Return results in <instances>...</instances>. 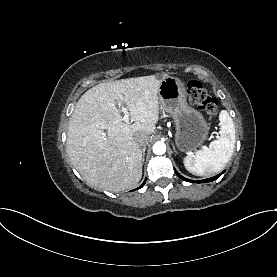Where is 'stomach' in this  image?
I'll use <instances>...</instances> for the list:
<instances>
[{
    "label": "stomach",
    "mask_w": 277,
    "mask_h": 277,
    "mask_svg": "<svg viewBox=\"0 0 277 277\" xmlns=\"http://www.w3.org/2000/svg\"><path fill=\"white\" fill-rule=\"evenodd\" d=\"M158 98L161 107L169 113L175 123V144L178 150L191 153L207 139L210 126L201 112L187 103L184 83L172 76L162 79Z\"/></svg>",
    "instance_id": "obj_1"
}]
</instances>
